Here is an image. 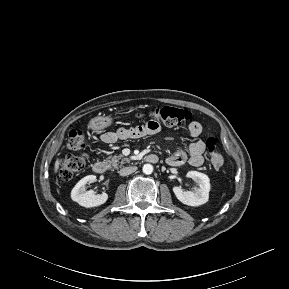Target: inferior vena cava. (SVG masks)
Wrapping results in <instances>:
<instances>
[{
	"instance_id": "602c4592",
	"label": "inferior vena cava",
	"mask_w": 289,
	"mask_h": 289,
	"mask_svg": "<svg viewBox=\"0 0 289 289\" xmlns=\"http://www.w3.org/2000/svg\"><path fill=\"white\" fill-rule=\"evenodd\" d=\"M136 170H137L136 166L124 167V168L120 169L119 174L121 176H127V175L132 174Z\"/></svg>"
}]
</instances>
